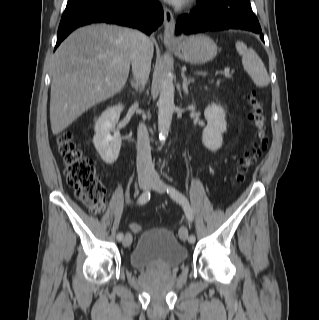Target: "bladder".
<instances>
[{
	"label": "bladder",
	"mask_w": 319,
	"mask_h": 320,
	"mask_svg": "<svg viewBox=\"0 0 319 320\" xmlns=\"http://www.w3.org/2000/svg\"><path fill=\"white\" fill-rule=\"evenodd\" d=\"M187 249L165 228H152L140 234L129 255V264L137 269L176 267L187 259Z\"/></svg>",
	"instance_id": "bladder-1"
}]
</instances>
